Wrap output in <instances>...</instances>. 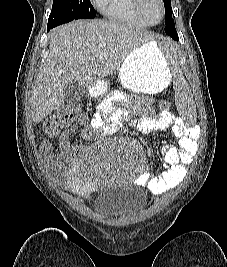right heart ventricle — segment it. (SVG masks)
<instances>
[{
    "instance_id": "e07e8e85",
    "label": "right heart ventricle",
    "mask_w": 227,
    "mask_h": 267,
    "mask_svg": "<svg viewBox=\"0 0 227 267\" xmlns=\"http://www.w3.org/2000/svg\"><path fill=\"white\" fill-rule=\"evenodd\" d=\"M135 0H100L99 11L109 20L135 26H147L136 10Z\"/></svg>"
}]
</instances>
